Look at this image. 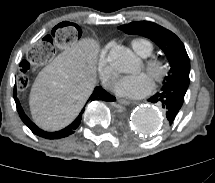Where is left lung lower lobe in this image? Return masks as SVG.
I'll return each instance as SVG.
<instances>
[{"label": "left lung lower lobe", "mask_w": 215, "mask_h": 183, "mask_svg": "<svg viewBox=\"0 0 215 183\" xmlns=\"http://www.w3.org/2000/svg\"><path fill=\"white\" fill-rule=\"evenodd\" d=\"M188 87L171 82L164 84L159 92L148 99L151 103H157L166 111V117L170 125L183 105L184 96Z\"/></svg>", "instance_id": "left-lung-lower-lobe-1"}]
</instances>
